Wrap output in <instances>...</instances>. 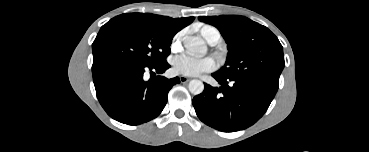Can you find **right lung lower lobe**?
<instances>
[{
  "instance_id": "1",
  "label": "right lung lower lobe",
  "mask_w": 369,
  "mask_h": 152,
  "mask_svg": "<svg viewBox=\"0 0 369 152\" xmlns=\"http://www.w3.org/2000/svg\"><path fill=\"white\" fill-rule=\"evenodd\" d=\"M170 65L165 61L154 66L116 63L93 72L98 100L113 119L128 125H138L156 118L167 103L168 92L180 83L175 77L162 74ZM154 78L145 81L144 72Z\"/></svg>"
}]
</instances>
